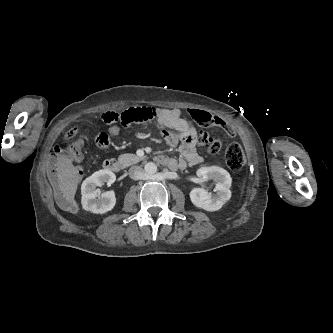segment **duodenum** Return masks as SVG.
I'll list each match as a JSON object with an SVG mask.
<instances>
[{"mask_svg": "<svg viewBox=\"0 0 333 333\" xmlns=\"http://www.w3.org/2000/svg\"><path fill=\"white\" fill-rule=\"evenodd\" d=\"M105 169L111 172H119L121 170V164L117 159L110 158L104 162Z\"/></svg>", "mask_w": 333, "mask_h": 333, "instance_id": "1", "label": "duodenum"}]
</instances>
